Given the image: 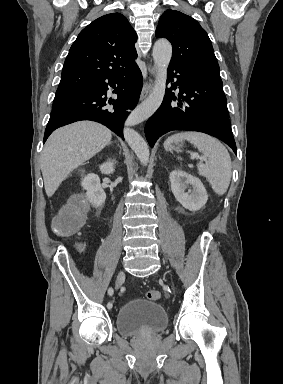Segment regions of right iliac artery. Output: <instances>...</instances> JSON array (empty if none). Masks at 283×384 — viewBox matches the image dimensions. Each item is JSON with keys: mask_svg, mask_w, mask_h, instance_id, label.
<instances>
[{"mask_svg": "<svg viewBox=\"0 0 283 384\" xmlns=\"http://www.w3.org/2000/svg\"><path fill=\"white\" fill-rule=\"evenodd\" d=\"M108 295H109V296H112V295H113V288H109V289H108ZM107 307H108V309H111V308L113 307L112 302H108Z\"/></svg>", "mask_w": 283, "mask_h": 384, "instance_id": "obj_1", "label": "right iliac artery"}]
</instances>
